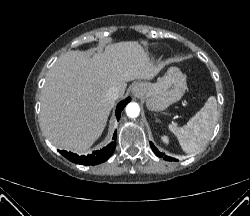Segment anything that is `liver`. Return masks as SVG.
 <instances>
[{
	"instance_id": "1",
	"label": "liver",
	"mask_w": 250,
	"mask_h": 216,
	"mask_svg": "<svg viewBox=\"0 0 250 216\" xmlns=\"http://www.w3.org/2000/svg\"><path fill=\"white\" fill-rule=\"evenodd\" d=\"M155 65L137 41L107 45L103 52L69 51L49 70L41 96V127L57 148L85 152L101 136L114 101L115 87L124 95L128 81L153 79Z\"/></svg>"
}]
</instances>
